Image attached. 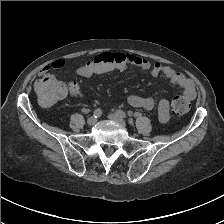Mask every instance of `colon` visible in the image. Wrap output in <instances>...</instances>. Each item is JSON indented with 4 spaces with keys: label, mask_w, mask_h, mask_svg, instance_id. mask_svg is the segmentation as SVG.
Here are the masks:
<instances>
[{
    "label": "colon",
    "mask_w": 224,
    "mask_h": 224,
    "mask_svg": "<svg viewBox=\"0 0 224 224\" xmlns=\"http://www.w3.org/2000/svg\"><path fill=\"white\" fill-rule=\"evenodd\" d=\"M84 66H90L99 75L118 70V63L113 57L107 54L97 56L93 61ZM36 93L42 104L50 106L64 98L67 94H72L70 85L58 82L53 77H46L38 81L35 86ZM172 112L176 115L186 114L191 108L190 100L185 96H176L171 104Z\"/></svg>",
    "instance_id": "1"
}]
</instances>
